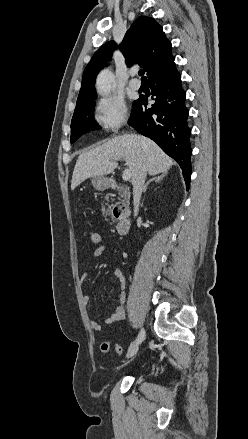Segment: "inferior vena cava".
<instances>
[{"instance_id": "1", "label": "inferior vena cava", "mask_w": 248, "mask_h": 439, "mask_svg": "<svg viewBox=\"0 0 248 439\" xmlns=\"http://www.w3.org/2000/svg\"><path fill=\"white\" fill-rule=\"evenodd\" d=\"M146 176H147L146 168L144 166H142L139 169L134 181L132 182V184H133V200H134V215L135 216H137V214H138V208H139L140 199H141Z\"/></svg>"}]
</instances>
